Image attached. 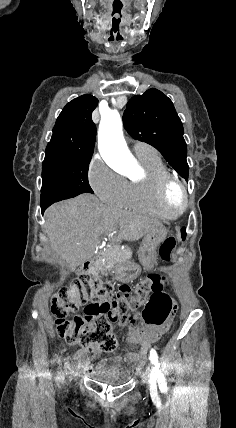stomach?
I'll return each mask as SVG.
<instances>
[{
	"instance_id": "0dacf381",
	"label": "stomach",
	"mask_w": 236,
	"mask_h": 428,
	"mask_svg": "<svg viewBox=\"0 0 236 428\" xmlns=\"http://www.w3.org/2000/svg\"><path fill=\"white\" fill-rule=\"evenodd\" d=\"M166 230L164 226H155L153 230L147 232L139 250L138 258L141 262L142 269H155L157 248L161 242L166 238ZM116 278L119 283H122L125 287H128L131 283L135 282V279L141 278V269L139 263L126 261L125 264H121L116 267Z\"/></svg>"
}]
</instances>
